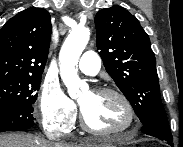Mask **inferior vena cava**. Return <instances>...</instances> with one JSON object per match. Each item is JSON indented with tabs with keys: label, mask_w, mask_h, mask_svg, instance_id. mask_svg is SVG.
Returning a JSON list of instances; mask_svg holds the SVG:
<instances>
[{
	"label": "inferior vena cava",
	"mask_w": 183,
	"mask_h": 147,
	"mask_svg": "<svg viewBox=\"0 0 183 147\" xmlns=\"http://www.w3.org/2000/svg\"><path fill=\"white\" fill-rule=\"evenodd\" d=\"M47 136H48V138H49L50 140H56V141H58V140H59V137H60V135L57 134V133L48 134Z\"/></svg>",
	"instance_id": "inferior-vena-cava-1"
}]
</instances>
